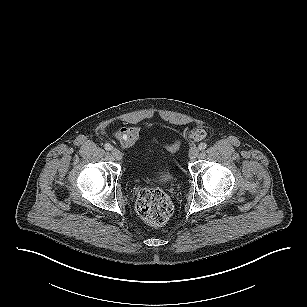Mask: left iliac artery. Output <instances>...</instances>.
<instances>
[{
    "label": "left iliac artery",
    "mask_w": 307,
    "mask_h": 307,
    "mask_svg": "<svg viewBox=\"0 0 307 307\" xmlns=\"http://www.w3.org/2000/svg\"><path fill=\"white\" fill-rule=\"evenodd\" d=\"M206 147H207V144L205 142L200 143L199 146H198V148L200 150H204V149H206Z\"/></svg>",
    "instance_id": "44dca946"
}]
</instances>
